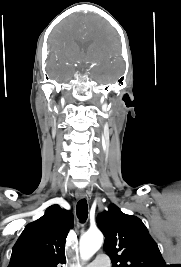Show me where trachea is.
<instances>
[{
    "label": "trachea",
    "instance_id": "trachea-1",
    "mask_svg": "<svg viewBox=\"0 0 181 267\" xmlns=\"http://www.w3.org/2000/svg\"><path fill=\"white\" fill-rule=\"evenodd\" d=\"M76 213L80 222L84 223L88 217V205L86 199H82L77 203Z\"/></svg>",
    "mask_w": 181,
    "mask_h": 267
}]
</instances>
